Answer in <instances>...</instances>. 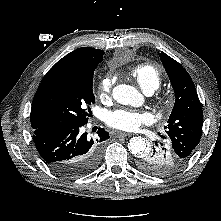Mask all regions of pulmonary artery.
Here are the masks:
<instances>
[{"label":"pulmonary artery","mask_w":221,"mask_h":221,"mask_svg":"<svg viewBox=\"0 0 221 221\" xmlns=\"http://www.w3.org/2000/svg\"><path fill=\"white\" fill-rule=\"evenodd\" d=\"M153 92L152 91H146V94L151 95Z\"/></svg>","instance_id":"1"}]
</instances>
